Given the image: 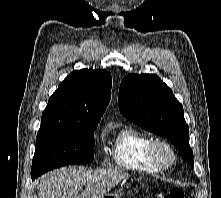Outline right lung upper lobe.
Wrapping results in <instances>:
<instances>
[{"label":"right lung upper lobe","mask_w":221,"mask_h":198,"mask_svg":"<svg viewBox=\"0 0 221 198\" xmlns=\"http://www.w3.org/2000/svg\"><path fill=\"white\" fill-rule=\"evenodd\" d=\"M111 87L106 70L72 72L49 98L40 130L86 131L97 126L110 101Z\"/></svg>","instance_id":"right-lung-upper-lobe-1"}]
</instances>
